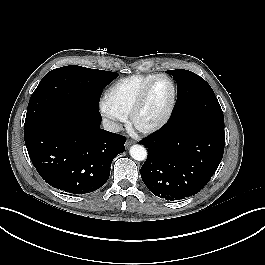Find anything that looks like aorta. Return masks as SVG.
<instances>
[{"mask_svg": "<svg viewBox=\"0 0 265 265\" xmlns=\"http://www.w3.org/2000/svg\"><path fill=\"white\" fill-rule=\"evenodd\" d=\"M129 152L134 160L144 161L147 158V150L142 145L131 146Z\"/></svg>", "mask_w": 265, "mask_h": 265, "instance_id": "1", "label": "aorta"}]
</instances>
